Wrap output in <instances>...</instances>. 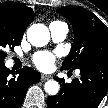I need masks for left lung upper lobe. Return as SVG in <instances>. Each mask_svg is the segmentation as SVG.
Wrapping results in <instances>:
<instances>
[{
  "label": "left lung upper lobe",
  "mask_w": 108,
  "mask_h": 108,
  "mask_svg": "<svg viewBox=\"0 0 108 108\" xmlns=\"http://www.w3.org/2000/svg\"><path fill=\"white\" fill-rule=\"evenodd\" d=\"M73 24L74 42L61 69L99 67L108 61V28L90 11L79 7L58 8Z\"/></svg>",
  "instance_id": "left-lung-upper-lobe-1"
}]
</instances>
